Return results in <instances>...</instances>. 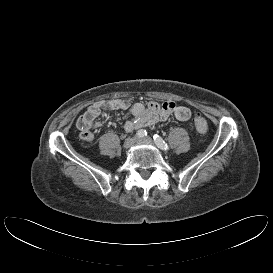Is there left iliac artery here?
Wrapping results in <instances>:
<instances>
[{
  "instance_id": "44dca946",
  "label": "left iliac artery",
  "mask_w": 273,
  "mask_h": 273,
  "mask_svg": "<svg viewBox=\"0 0 273 273\" xmlns=\"http://www.w3.org/2000/svg\"><path fill=\"white\" fill-rule=\"evenodd\" d=\"M153 139H154L156 145L158 146V148L165 150V151L169 150L168 144L159 135L155 134L153 136Z\"/></svg>"
}]
</instances>
